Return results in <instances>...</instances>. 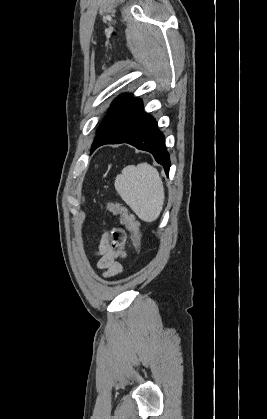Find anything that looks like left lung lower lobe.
<instances>
[{"label":"left lung lower lobe","instance_id":"left-lung-lower-lobe-1","mask_svg":"<svg viewBox=\"0 0 267 419\" xmlns=\"http://www.w3.org/2000/svg\"><path fill=\"white\" fill-rule=\"evenodd\" d=\"M128 143L139 150L150 152L168 175L169 154L165 148V138L157 127L155 119L146 114L140 99H135L127 108L116 112L114 123L92 145V152L101 145Z\"/></svg>","mask_w":267,"mask_h":419}]
</instances>
